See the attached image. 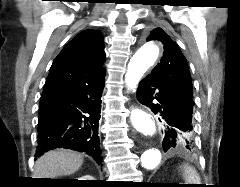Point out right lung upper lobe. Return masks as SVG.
Returning a JSON list of instances; mask_svg holds the SVG:
<instances>
[{"label": "right lung upper lobe", "instance_id": "cb5924a9", "mask_svg": "<svg viewBox=\"0 0 240 187\" xmlns=\"http://www.w3.org/2000/svg\"><path fill=\"white\" fill-rule=\"evenodd\" d=\"M103 38L96 30H84L55 58L43 94L76 85L105 74Z\"/></svg>", "mask_w": 240, "mask_h": 187}]
</instances>
